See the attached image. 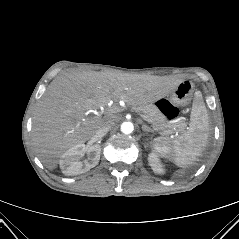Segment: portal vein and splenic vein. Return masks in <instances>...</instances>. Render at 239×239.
I'll return each mask as SVG.
<instances>
[{"instance_id": "1", "label": "portal vein and splenic vein", "mask_w": 239, "mask_h": 239, "mask_svg": "<svg viewBox=\"0 0 239 239\" xmlns=\"http://www.w3.org/2000/svg\"><path fill=\"white\" fill-rule=\"evenodd\" d=\"M110 112L115 113L116 111L110 109ZM140 117H141L143 120H145V121H147V122H150V119H149L146 115L140 114Z\"/></svg>"}]
</instances>
